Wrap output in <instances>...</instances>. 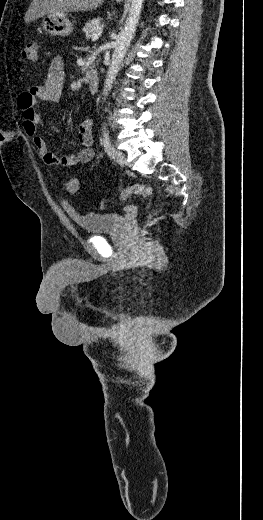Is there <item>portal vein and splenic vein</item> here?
<instances>
[{"mask_svg":"<svg viewBox=\"0 0 263 520\" xmlns=\"http://www.w3.org/2000/svg\"><path fill=\"white\" fill-rule=\"evenodd\" d=\"M101 33H102V32H101L100 30L97 31L96 33H94V34L92 35V37H91L92 41L97 40V39L101 36Z\"/></svg>","mask_w":263,"mask_h":520,"instance_id":"18ae733b","label":"portal vein and splenic vein"}]
</instances>
